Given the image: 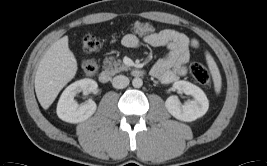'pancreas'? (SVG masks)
Masks as SVG:
<instances>
[{"label": "pancreas", "mask_w": 267, "mask_h": 166, "mask_svg": "<svg viewBox=\"0 0 267 166\" xmlns=\"http://www.w3.org/2000/svg\"><path fill=\"white\" fill-rule=\"evenodd\" d=\"M103 63L104 68L111 74L127 71L129 69V67L124 65L121 60H116L114 57L105 58Z\"/></svg>", "instance_id": "1"}]
</instances>
